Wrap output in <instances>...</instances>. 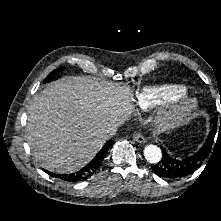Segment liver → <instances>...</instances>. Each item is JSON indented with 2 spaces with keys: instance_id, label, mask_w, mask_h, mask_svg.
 I'll return each mask as SVG.
<instances>
[{
  "instance_id": "1",
  "label": "liver",
  "mask_w": 221,
  "mask_h": 221,
  "mask_svg": "<svg viewBox=\"0 0 221 221\" xmlns=\"http://www.w3.org/2000/svg\"><path fill=\"white\" fill-rule=\"evenodd\" d=\"M132 111L128 88L90 76L63 79L34 96L27 142L43 168L72 173L102 148L104 131L122 125Z\"/></svg>"
}]
</instances>
